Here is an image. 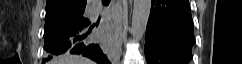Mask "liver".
Listing matches in <instances>:
<instances>
[{
    "mask_svg": "<svg viewBox=\"0 0 242 64\" xmlns=\"http://www.w3.org/2000/svg\"><path fill=\"white\" fill-rule=\"evenodd\" d=\"M51 64H94V62L82 56L65 54L55 58Z\"/></svg>",
    "mask_w": 242,
    "mask_h": 64,
    "instance_id": "6515ba94",
    "label": "liver"
}]
</instances>
